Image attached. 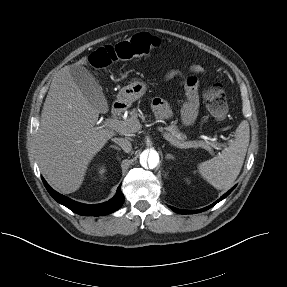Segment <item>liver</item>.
Returning <instances> with one entry per match:
<instances>
[{"label":"liver","mask_w":287,"mask_h":287,"mask_svg":"<svg viewBox=\"0 0 287 287\" xmlns=\"http://www.w3.org/2000/svg\"><path fill=\"white\" fill-rule=\"evenodd\" d=\"M88 61L83 57L76 64ZM99 110L73 82L70 66L54 76L36 134L40 170L47 182L64 194L78 190L93 157L115 132L94 127Z\"/></svg>","instance_id":"liver-1"}]
</instances>
